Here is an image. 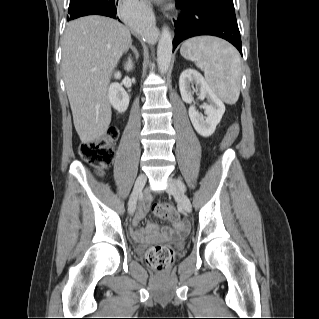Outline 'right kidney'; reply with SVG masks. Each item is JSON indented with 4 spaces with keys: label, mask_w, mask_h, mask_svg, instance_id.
Segmentation results:
<instances>
[{
    "label": "right kidney",
    "mask_w": 319,
    "mask_h": 319,
    "mask_svg": "<svg viewBox=\"0 0 319 319\" xmlns=\"http://www.w3.org/2000/svg\"><path fill=\"white\" fill-rule=\"evenodd\" d=\"M132 69L133 65L131 59H128L125 64V70L131 71ZM120 77L121 74L119 72L114 74L115 79H120ZM108 99L113 108L119 113H123L127 110L129 105V95L119 83H113L110 85L108 90Z\"/></svg>",
    "instance_id": "1"
}]
</instances>
